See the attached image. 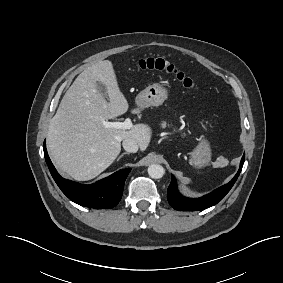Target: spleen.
Wrapping results in <instances>:
<instances>
[{"label": "spleen", "mask_w": 283, "mask_h": 283, "mask_svg": "<svg viewBox=\"0 0 283 283\" xmlns=\"http://www.w3.org/2000/svg\"><path fill=\"white\" fill-rule=\"evenodd\" d=\"M217 165H218V166H225V165H227L226 159H224V158H219V159H218V162H217Z\"/></svg>", "instance_id": "obj_1"}]
</instances>
